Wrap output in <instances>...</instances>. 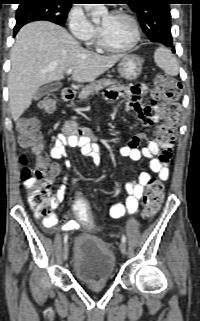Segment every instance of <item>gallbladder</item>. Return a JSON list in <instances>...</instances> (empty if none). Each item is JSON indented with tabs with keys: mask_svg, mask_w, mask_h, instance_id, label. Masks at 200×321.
<instances>
[{
	"mask_svg": "<svg viewBox=\"0 0 200 321\" xmlns=\"http://www.w3.org/2000/svg\"><path fill=\"white\" fill-rule=\"evenodd\" d=\"M60 86H61V84H59V83L43 85L35 92L33 99L35 101H38L42 97L58 90L60 88Z\"/></svg>",
	"mask_w": 200,
	"mask_h": 321,
	"instance_id": "1",
	"label": "gallbladder"
}]
</instances>
